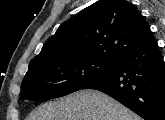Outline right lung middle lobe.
<instances>
[{
    "mask_svg": "<svg viewBox=\"0 0 165 120\" xmlns=\"http://www.w3.org/2000/svg\"><path fill=\"white\" fill-rule=\"evenodd\" d=\"M114 62L95 58L51 61L29 67L22 85V100L47 101L83 89L109 74Z\"/></svg>",
    "mask_w": 165,
    "mask_h": 120,
    "instance_id": "right-lung-middle-lobe-1",
    "label": "right lung middle lobe"
}]
</instances>
